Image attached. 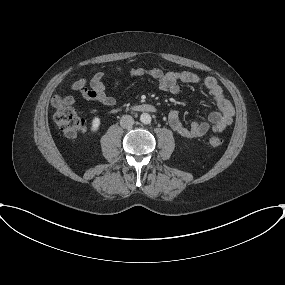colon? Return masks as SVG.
I'll use <instances>...</instances> for the list:
<instances>
[{"instance_id":"5ec220e1","label":"colon","mask_w":285,"mask_h":285,"mask_svg":"<svg viewBox=\"0 0 285 285\" xmlns=\"http://www.w3.org/2000/svg\"><path fill=\"white\" fill-rule=\"evenodd\" d=\"M51 104L55 110L54 121L66 138L74 139L86 130L85 120L74 109L70 97L54 96ZM222 143V138L216 134L207 139V145L211 148H218Z\"/></svg>"}]
</instances>
